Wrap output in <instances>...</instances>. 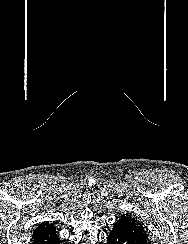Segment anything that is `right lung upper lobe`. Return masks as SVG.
<instances>
[{
  "label": "right lung upper lobe",
  "instance_id": "cb5924a9",
  "mask_svg": "<svg viewBox=\"0 0 188 244\" xmlns=\"http://www.w3.org/2000/svg\"><path fill=\"white\" fill-rule=\"evenodd\" d=\"M50 226H53V224L52 225H49V222H44L42 224H39L38 227L35 229L34 234L37 233V232H39L43 228L50 227Z\"/></svg>",
  "mask_w": 188,
  "mask_h": 244
}]
</instances>
